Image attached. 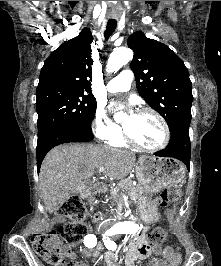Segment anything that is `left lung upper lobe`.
<instances>
[{
    "mask_svg": "<svg viewBox=\"0 0 221 266\" xmlns=\"http://www.w3.org/2000/svg\"><path fill=\"white\" fill-rule=\"evenodd\" d=\"M127 44L134 52L130 67L141 97L166 120L170 133L189 130L192 84L183 61L141 31L133 33Z\"/></svg>",
    "mask_w": 221,
    "mask_h": 266,
    "instance_id": "obj_1",
    "label": "left lung upper lobe"
}]
</instances>
